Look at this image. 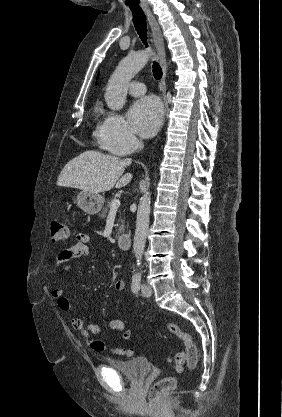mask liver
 <instances>
[{"label": "liver", "mask_w": 282, "mask_h": 417, "mask_svg": "<svg viewBox=\"0 0 282 417\" xmlns=\"http://www.w3.org/2000/svg\"><path fill=\"white\" fill-rule=\"evenodd\" d=\"M130 162V158L121 160L118 156L102 154L97 150H85L65 164L58 176L57 184L81 188L95 194L110 190L113 186L121 188L132 178L131 172L123 174L125 166Z\"/></svg>", "instance_id": "6515ba94"}]
</instances>
